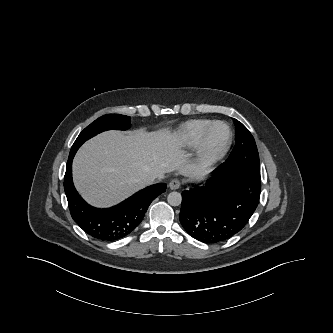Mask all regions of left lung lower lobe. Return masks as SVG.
<instances>
[{"label": "left lung lower lobe", "instance_id": "left-lung-lower-lobe-1", "mask_svg": "<svg viewBox=\"0 0 333 333\" xmlns=\"http://www.w3.org/2000/svg\"><path fill=\"white\" fill-rule=\"evenodd\" d=\"M261 178L243 166L225 161L206 186L182 192L180 222L204 243L225 241L238 233L257 208Z\"/></svg>", "mask_w": 333, "mask_h": 333}]
</instances>
